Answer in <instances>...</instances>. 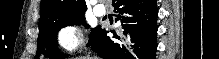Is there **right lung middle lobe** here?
<instances>
[{
    "label": "right lung middle lobe",
    "instance_id": "dd1d6c3e",
    "mask_svg": "<svg viewBox=\"0 0 219 59\" xmlns=\"http://www.w3.org/2000/svg\"><path fill=\"white\" fill-rule=\"evenodd\" d=\"M76 24H83L86 28H89V25L84 21V14L53 21L46 24L44 27L39 28L38 46L35 59H39L40 56H46L49 57V59H64L65 56L57 49V33L63 27ZM99 29L100 27L91 30L88 45L95 41ZM67 56L68 55H66V57Z\"/></svg>",
    "mask_w": 219,
    "mask_h": 59
}]
</instances>
